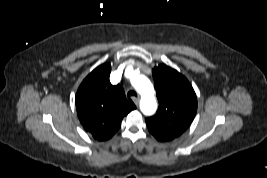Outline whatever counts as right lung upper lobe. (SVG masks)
I'll return each instance as SVG.
<instances>
[{
    "label": "right lung upper lobe",
    "mask_w": 267,
    "mask_h": 178,
    "mask_svg": "<svg viewBox=\"0 0 267 178\" xmlns=\"http://www.w3.org/2000/svg\"><path fill=\"white\" fill-rule=\"evenodd\" d=\"M111 66L94 69L78 88L75 104L84 129L98 141L110 139L120 128L123 117L136 109L121 85L109 81Z\"/></svg>",
    "instance_id": "obj_1"
}]
</instances>
